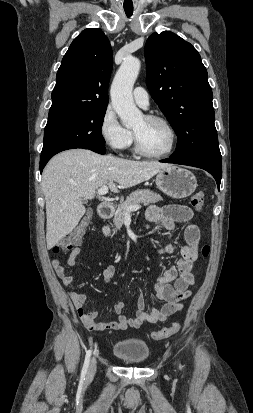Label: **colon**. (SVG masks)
I'll return each mask as SVG.
<instances>
[{"mask_svg": "<svg viewBox=\"0 0 253 413\" xmlns=\"http://www.w3.org/2000/svg\"><path fill=\"white\" fill-rule=\"evenodd\" d=\"M205 203L204 194L202 192L195 193L191 198V205L192 207L201 212L203 210ZM90 222V213H87L79 224L67 235H65L59 243L53 248L55 253L59 251H68L72 249L74 246L79 245L84 237L86 229ZM210 252V248L208 245H204L201 248V255L202 257H208ZM180 324L174 323L169 327L162 328L161 330L155 331L151 334L152 339L154 340H162L166 339L174 334H176L180 330Z\"/></svg>", "mask_w": 253, "mask_h": 413, "instance_id": "colon-1", "label": "colon"}]
</instances>
